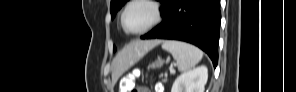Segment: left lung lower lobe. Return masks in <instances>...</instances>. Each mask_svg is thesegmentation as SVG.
Segmentation results:
<instances>
[{
    "label": "left lung lower lobe",
    "instance_id": "left-lung-lower-lobe-1",
    "mask_svg": "<svg viewBox=\"0 0 296 92\" xmlns=\"http://www.w3.org/2000/svg\"><path fill=\"white\" fill-rule=\"evenodd\" d=\"M220 0H169L163 21L142 39H174L201 48L218 62Z\"/></svg>",
    "mask_w": 296,
    "mask_h": 92
}]
</instances>
